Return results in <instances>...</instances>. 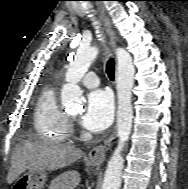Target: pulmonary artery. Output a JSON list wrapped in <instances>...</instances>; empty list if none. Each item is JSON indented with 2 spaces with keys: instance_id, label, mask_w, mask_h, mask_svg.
Listing matches in <instances>:
<instances>
[{
  "instance_id": "e3ab8cb5",
  "label": "pulmonary artery",
  "mask_w": 188,
  "mask_h": 189,
  "mask_svg": "<svg viewBox=\"0 0 188 189\" xmlns=\"http://www.w3.org/2000/svg\"><path fill=\"white\" fill-rule=\"evenodd\" d=\"M81 83L88 88H93L99 85V78L94 72H89L83 76Z\"/></svg>"
}]
</instances>
